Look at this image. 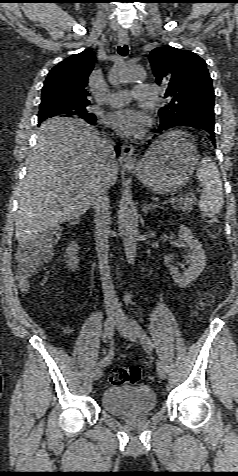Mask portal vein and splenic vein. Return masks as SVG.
<instances>
[{
    "label": "portal vein and splenic vein",
    "instance_id": "portal-vein-and-splenic-vein-1",
    "mask_svg": "<svg viewBox=\"0 0 238 476\" xmlns=\"http://www.w3.org/2000/svg\"><path fill=\"white\" fill-rule=\"evenodd\" d=\"M180 199H181V197H179V196H174V197H172V198L170 199L169 202H170V203H175V202H178Z\"/></svg>",
    "mask_w": 238,
    "mask_h": 476
}]
</instances>
